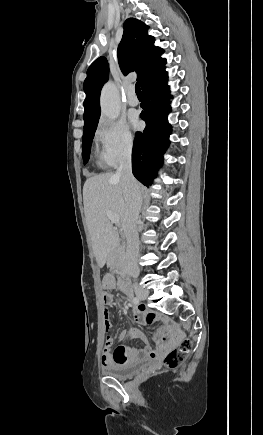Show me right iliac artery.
Masks as SVG:
<instances>
[{
  "mask_svg": "<svg viewBox=\"0 0 263 435\" xmlns=\"http://www.w3.org/2000/svg\"><path fill=\"white\" fill-rule=\"evenodd\" d=\"M139 301H140V299H139L138 297H134V298H133V303H134V304H138Z\"/></svg>",
  "mask_w": 263,
  "mask_h": 435,
  "instance_id": "obj_1",
  "label": "right iliac artery"
}]
</instances>
